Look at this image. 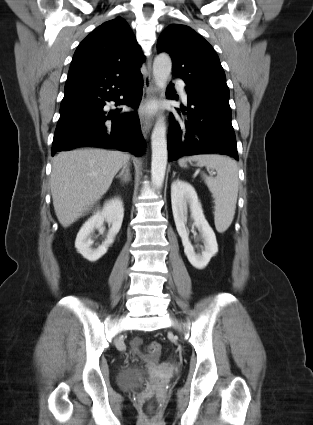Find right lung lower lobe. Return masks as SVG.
<instances>
[{"label":"right lung lower lobe","instance_id":"right-lung-lower-lobe-1","mask_svg":"<svg viewBox=\"0 0 313 425\" xmlns=\"http://www.w3.org/2000/svg\"><path fill=\"white\" fill-rule=\"evenodd\" d=\"M141 77L137 69L125 75L67 79L52 155L77 147H101L141 156L145 142L137 113L119 115V109L108 112L105 108L106 101H115L137 109L142 98Z\"/></svg>","mask_w":313,"mask_h":425}]
</instances>
